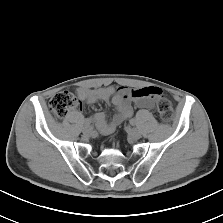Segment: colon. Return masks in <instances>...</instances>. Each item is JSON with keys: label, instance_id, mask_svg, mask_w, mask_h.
Segmentation results:
<instances>
[{"label": "colon", "instance_id": "colon-1", "mask_svg": "<svg viewBox=\"0 0 223 223\" xmlns=\"http://www.w3.org/2000/svg\"><path fill=\"white\" fill-rule=\"evenodd\" d=\"M152 94L158 96L156 100V111L162 122L169 123L173 120L174 111L170 101L159 94V90H152ZM78 105L77 98L68 91L56 93L49 102L51 112L58 118H63L69 110Z\"/></svg>", "mask_w": 223, "mask_h": 223}]
</instances>
